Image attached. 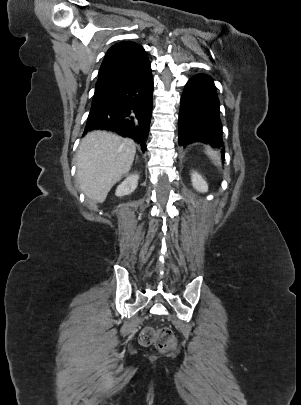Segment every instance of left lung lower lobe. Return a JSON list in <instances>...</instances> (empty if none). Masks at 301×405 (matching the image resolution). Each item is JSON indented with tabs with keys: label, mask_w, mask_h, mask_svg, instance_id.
<instances>
[{
	"label": "left lung lower lobe",
	"mask_w": 301,
	"mask_h": 405,
	"mask_svg": "<svg viewBox=\"0 0 301 405\" xmlns=\"http://www.w3.org/2000/svg\"><path fill=\"white\" fill-rule=\"evenodd\" d=\"M178 127L180 146L204 143L220 149L224 157L219 100L210 76L197 74L186 84L181 97Z\"/></svg>",
	"instance_id": "left-lung-lower-lobe-1"
}]
</instances>
